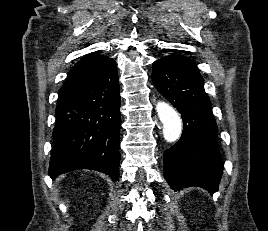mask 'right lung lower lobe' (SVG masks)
I'll list each match as a JSON object with an SVG mask.
<instances>
[{
    "label": "right lung lower lobe",
    "mask_w": 268,
    "mask_h": 231,
    "mask_svg": "<svg viewBox=\"0 0 268 231\" xmlns=\"http://www.w3.org/2000/svg\"><path fill=\"white\" fill-rule=\"evenodd\" d=\"M49 176L92 169L119 178L120 90L116 62L71 85L57 101Z\"/></svg>",
    "instance_id": "1"
}]
</instances>
